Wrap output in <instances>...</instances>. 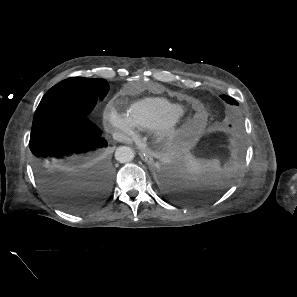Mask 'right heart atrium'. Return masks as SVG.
Listing matches in <instances>:
<instances>
[{
	"instance_id": "right-heart-atrium-1",
	"label": "right heart atrium",
	"mask_w": 297,
	"mask_h": 297,
	"mask_svg": "<svg viewBox=\"0 0 297 297\" xmlns=\"http://www.w3.org/2000/svg\"><path fill=\"white\" fill-rule=\"evenodd\" d=\"M105 120L114 135L120 140L138 138L137 128L134 126L128 115L118 111L113 106H108L105 110Z\"/></svg>"
}]
</instances>
